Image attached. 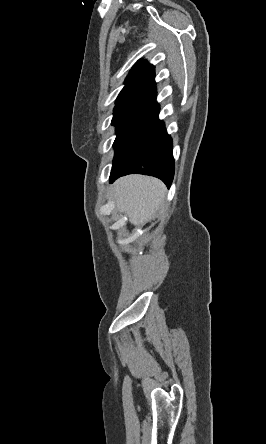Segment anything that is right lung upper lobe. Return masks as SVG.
I'll use <instances>...</instances> for the list:
<instances>
[{"label": "right lung upper lobe", "mask_w": 266, "mask_h": 444, "mask_svg": "<svg viewBox=\"0 0 266 444\" xmlns=\"http://www.w3.org/2000/svg\"><path fill=\"white\" fill-rule=\"evenodd\" d=\"M155 69L146 60L140 59L131 69L118 100L133 97H152L156 99Z\"/></svg>", "instance_id": "1"}]
</instances>
